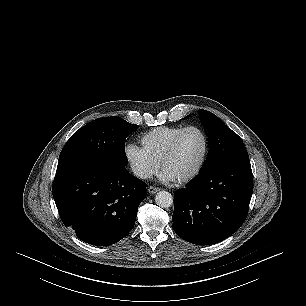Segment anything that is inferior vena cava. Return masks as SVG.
I'll use <instances>...</instances> for the list:
<instances>
[{"label":"inferior vena cava","mask_w":306,"mask_h":306,"mask_svg":"<svg viewBox=\"0 0 306 306\" xmlns=\"http://www.w3.org/2000/svg\"><path fill=\"white\" fill-rule=\"evenodd\" d=\"M133 173L137 176L140 177L142 179H147L151 177V173L149 170H147L146 168H142V167H134L133 168Z\"/></svg>","instance_id":"602c4592"}]
</instances>
